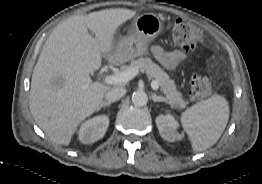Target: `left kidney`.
Segmentation results:
<instances>
[{
	"label": "left kidney",
	"instance_id": "obj_1",
	"mask_svg": "<svg viewBox=\"0 0 262 184\" xmlns=\"http://www.w3.org/2000/svg\"><path fill=\"white\" fill-rule=\"evenodd\" d=\"M156 125L160 132V135L166 141L173 142L175 140H181L184 137L183 133H177L179 124L170 114L158 116L156 118Z\"/></svg>",
	"mask_w": 262,
	"mask_h": 184
}]
</instances>
